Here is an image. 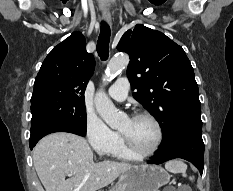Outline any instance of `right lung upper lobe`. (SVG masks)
<instances>
[{
    "instance_id": "cb5924a9",
    "label": "right lung upper lobe",
    "mask_w": 233,
    "mask_h": 191,
    "mask_svg": "<svg viewBox=\"0 0 233 191\" xmlns=\"http://www.w3.org/2000/svg\"><path fill=\"white\" fill-rule=\"evenodd\" d=\"M85 48L80 32L55 46L41 65L31 100L53 96L84 103L85 88L95 68L94 57Z\"/></svg>"
}]
</instances>
